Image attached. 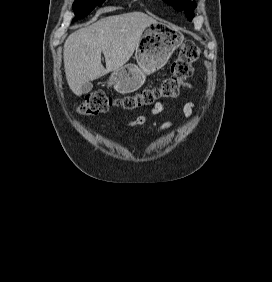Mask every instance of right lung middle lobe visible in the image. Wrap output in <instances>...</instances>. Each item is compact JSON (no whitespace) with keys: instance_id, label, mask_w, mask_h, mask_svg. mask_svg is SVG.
I'll return each instance as SVG.
<instances>
[{"instance_id":"dd1d6c3e","label":"right lung middle lobe","mask_w":272,"mask_h":282,"mask_svg":"<svg viewBox=\"0 0 272 282\" xmlns=\"http://www.w3.org/2000/svg\"><path fill=\"white\" fill-rule=\"evenodd\" d=\"M102 2L103 0H76L73 3V10L75 12L76 17L83 18L88 15L95 8L96 5L101 6Z\"/></svg>"}]
</instances>
